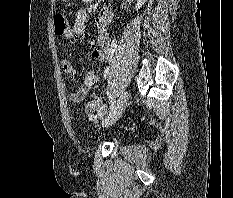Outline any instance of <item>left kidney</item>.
<instances>
[{
    "mask_svg": "<svg viewBox=\"0 0 233 198\" xmlns=\"http://www.w3.org/2000/svg\"><path fill=\"white\" fill-rule=\"evenodd\" d=\"M146 0H136L135 10H138L144 5Z\"/></svg>",
    "mask_w": 233,
    "mask_h": 198,
    "instance_id": "1",
    "label": "left kidney"
}]
</instances>
